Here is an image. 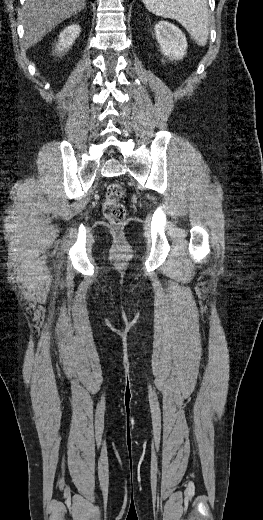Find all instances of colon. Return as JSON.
I'll return each instance as SVG.
<instances>
[{
  "label": "colon",
  "mask_w": 263,
  "mask_h": 520,
  "mask_svg": "<svg viewBox=\"0 0 263 520\" xmlns=\"http://www.w3.org/2000/svg\"><path fill=\"white\" fill-rule=\"evenodd\" d=\"M124 188L120 183H112L107 187L103 202V214L113 225H122L126 219V208L122 202Z\"/></svg>",
  "instance_id": "5ec220e1"
}]
</instances>
